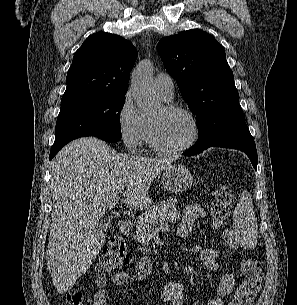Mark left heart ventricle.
Here are the masks:
<instances>
[{
  "instance_id": "obj_1",
  "label": "left heart ventricle",
  "mask_w": 297,
  "mask_h": 305,
  "mask_svg": "<svg viewBox=\"0 0 297 305\" xmlns=\"http://www.w3.org/2000/svg\"><path fill=\"white\" fill-rule=\"evenodd\" d=\"M151 122L158 141L167 148L181 146L192 136V124L183 114L169 113L161 108L151 117Z\"/></svg>"
}]
</instances>
